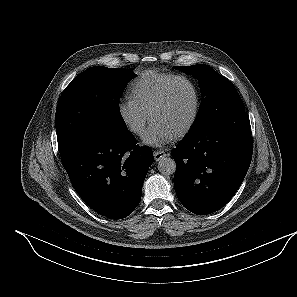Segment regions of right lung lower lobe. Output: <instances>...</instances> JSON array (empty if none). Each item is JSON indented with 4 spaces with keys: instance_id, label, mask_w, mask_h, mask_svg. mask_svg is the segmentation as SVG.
<instances>
[{
    "instance_id": "obj_1",
    "label": "right lung lower lobe",
    "mask_w": 297,
    "mask_h": 297,
    "mask_svg": "<svg viewBox=\"0 0 297 297\" xmlns=\"http://www.w3.org/2000/svg\"><path fill=\"white\" fill-rule=\"evenodd\" d=\"M153 160L150 148L138 146L127 130L91 132L61 155L79 196L110 219H123L138 206Z\"/></svg>"
}]
</instances>
